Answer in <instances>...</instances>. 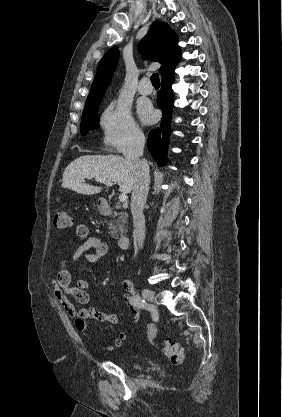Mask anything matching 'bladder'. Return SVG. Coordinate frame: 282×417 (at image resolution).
Wrapping results in <instances>:
<instances>
[{
  "instance_id": "obj_1",
  "label": "bladder",
  "mask_w": 282,
  "mask_h": 417,
  "mask_svg": "<svg viewBox=\"0 0 282 417\" xmlns=\"http://www.w3.org/2000/svg\"><path fill=\"white\" fill-rule=\"evenodd\" d=\"M132 366L134 369H141V366L139 363H134Z\"/></svg>"
}]
</instances>
